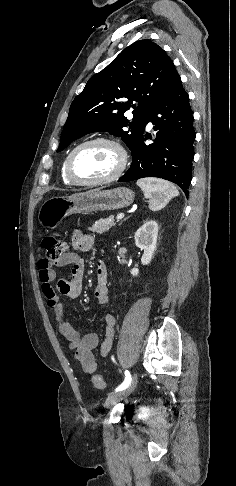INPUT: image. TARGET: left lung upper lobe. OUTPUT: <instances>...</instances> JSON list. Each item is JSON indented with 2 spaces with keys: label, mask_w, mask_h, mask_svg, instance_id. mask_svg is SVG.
I'll return each mask as SVG.
<instances>
[{
  "label": "left lung upper lobe",
  "mask_w": 236,
  "mask_h": 486,
  "mask_svg": "<svg viewBox=\"0 0 236 486\" xmlns=\"http://www.w3.org/2000/svg\"><path fill=\"white\" fill-rule=\"evenodd\" d=\"M179 77L174 63L159 45L148 39L133 43L91 77L74 99L57 152L72 141L98 131L121 137L132 150L143 135L152 104ZM130 109L134 114L132 122L124 116Z\"/></svg>",
  "instance_id": "obj_1"
}]
</instances>
